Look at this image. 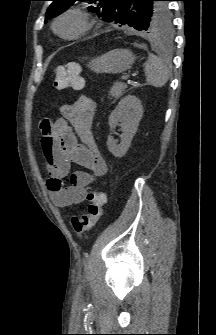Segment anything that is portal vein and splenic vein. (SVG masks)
Segmentation results:
<instances>
[{"instance_id":"portal-vein-and-splenic-vein-1","label":"portal vein and splenic vein","mask_w":216,"mask_h":335,"mask_svg":"<svg viewBox=\"0 0 216 335\" xmlns=\"http://www.w3.org/2000/svg\"><path fill=\"white\" fill-rule=\"evenodd\" d=\"M125 80H126L128 83L131 82V80L129 79V77H126Z\"/></svg>"}]
</instances>
